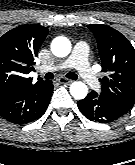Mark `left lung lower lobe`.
Masks as SVG:
<instances>
[{
  "label": "left lung lower lobe",
  "instance_id": "left-lung-lower-lobe-1",
  "mask_svg": "<svg viewBox=\"0 0 135 165\" xmlns=\"http://www.w3.org/2000/svg\"><path fill=\"white\" fill-rule=\"evenodd\" d=\"M81 113L89 120L101 123L113 122L127 112L116 106L109 98L95 91L77 103Z\"/></svg>",
  "mask_w": 135,
  "mask_h": 165
}]
</instances>
